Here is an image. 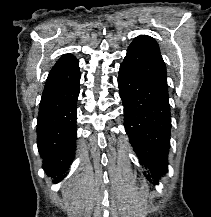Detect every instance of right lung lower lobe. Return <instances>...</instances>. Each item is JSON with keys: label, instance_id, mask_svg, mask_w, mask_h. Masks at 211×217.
<instances>
[{"label": "right lung lower lobe", "instance_id": "1", "mask_svg": "<svg viewBox=\"0 0 211 217\" xmlns=\"http://www.w3.org/2000/svg\"><path fill=\"white\" fill-rule=\"evenodd\" d=\"M80 72L64 85L43 91L37 122L38 151L55 182L62 180L76 148V103Z\"/></svg>", "mask_w": 211, "mask_h": 217}]
</instances>
